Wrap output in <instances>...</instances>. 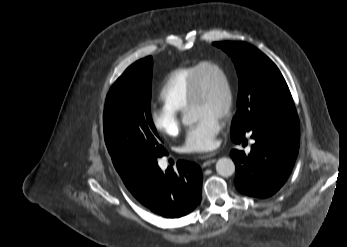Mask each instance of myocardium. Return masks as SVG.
Wrapping results in <instances>:
<instances>
[{
    "label": "myocardium",
    "mask_w": 347,
    "mask_h": 247,
    "mask_svg": "<svg viewBox=\"0 0 347 247\" xmlns=\"http://www.w3.org/2000/svg\"><path fill=\"white\" fill-rule=\"evenodd\" d=\"M206 69L216 70L224 80L226 89V103L221 117L226 119L231 115L235 103L234 86L230 73L222 64L216 61L205 60L198 63L190 86L187 108L199 103L202 98V72Z\"/></svg>",
    "instance_id": "f54148a6"
}]
</instances>
